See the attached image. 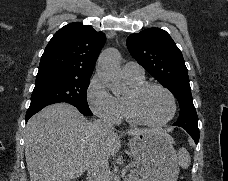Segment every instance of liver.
I'll use <instances>...</instances> for the list:
<instances>
[{"label":"liver","mask_w":228,"mask_h":181,"mask_svg":"<svg viewBox=\"0 0 228 181\" xmlns=\"http://www.w3.org/2000/svg\"><path fill=\"white\" fill-rule=\"evenodd\" d=\"M93 123L68 103H55L29 119L25 129V159L30 181H74L88 169L91 153L115 157L121 141L117 133L89 135ZM165 133L164 129H130L125 135Z\"/></svg>","instance_id":"obj_1"}]
</instances>
